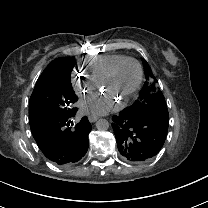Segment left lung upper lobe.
Segmentation results:
<instances>
[{"mask_svg":"<svg viewBox=\"0 0 208 208\" xmlns=\"http://www.w3.org/2000/svg\"><path fill=\"white\" fill-rule=\"evenodd\" d=\"M142 62L146 81L140 91L138 99L130 107L125 108L124 111L143 117H152L169 125L168 109L164 96L158 88L157 80L147 61L142 59Z\"/></svg>","mask_w":208,"mask_h":208,"instance_id":"5c2ea615","label":"left lung upper lobe"}]
</instances>
